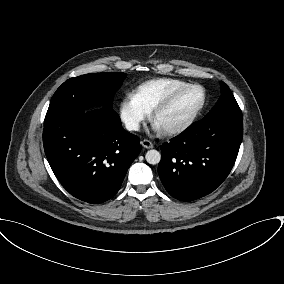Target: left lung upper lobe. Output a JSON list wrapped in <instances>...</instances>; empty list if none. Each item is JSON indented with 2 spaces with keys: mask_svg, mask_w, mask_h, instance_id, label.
Segmentation results:
<instances>
[{
  "mask_svg": "<svg viewBox=\"0 0 284 284\" xmlns=\"http://www.w3.org/2000/svg\"><path fill=\"white\" fill-rule=\"evenodd\" d=\"M221 96L219 97L215 106L210 112L204 117V119L212 118L216 116H242L241 110L231 93L229 87L224 83L220 82Z\"/></svg>",
  "mask_w": 284,
  "mask_h": 284,
  "instance_id": "1",
  "label": "left lung upper lobe"
}]
</instances>
